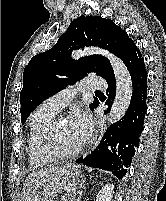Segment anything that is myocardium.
Returning <instances> with one entry per match:
<instances>
[{"instance_id": "myocardium-1", "label": "myocardium", "mask_w": 166, "mask_h": 201, "mask_svg": "<svg viewBox=\"0 0 166 201\" xmlns=\"http://www.w3.org/2000/svg\"><path fill=\"white\" fill-rule=\"evenodd\" d=\"M64 121L61 115L54 116L40 130L38 136V149L41 154L46 155L54 160L70 159L78 155L82 150V145L75 150L64 152L60 151L54 143V131L57 125Z\"/></svg>"}]
</instances>
